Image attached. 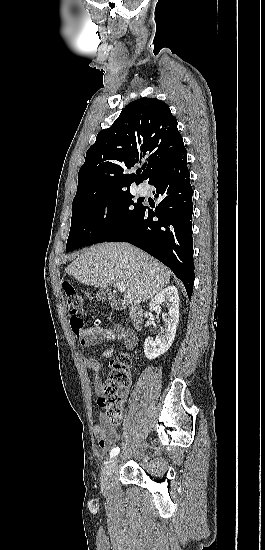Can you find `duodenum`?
<instances>
[{
  "instance_id": "duodenum-1",
  "label": "duodenum",
  "mask_w": 265,
  "mask_h": 550,
  "mask_svg": "<svg viewBox=\"0 0 265 550\" xmlns=\"http://www.w3.org/2000/svg\"><path fill=\"white\" fill-rule=\"evenodd\" d=\"M112 306L117 311L127 310L132 326L135 330L142 327V308L139 305H127L123 300H114Z\"/></svg>"
}]
</instances>
